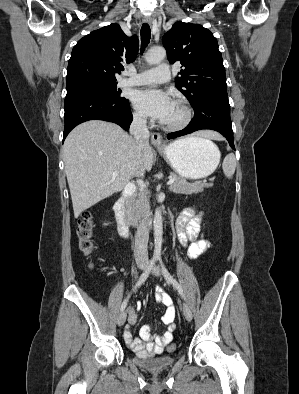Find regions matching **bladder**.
<instances>
[{
  "instance_id": "1",
  "label": "bladder",
  "mask_w": 299,
  "mask_h": 394,
  "mask_svg": "<svg viewBox=\"0 0 299 394\" xmlns=\"http://www.w3.org/2000/svg\"><path fill=\"white\" fill-rule=\"evenodd\" d=\"M134 363L149 373H159L170 368L176 361L175 355H164L157 357H139L133 358Z\"/></svg>"
}]
</instances>
